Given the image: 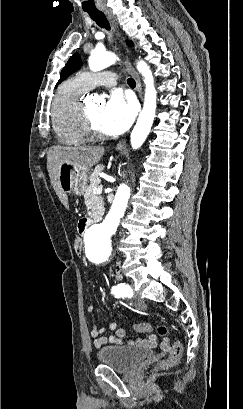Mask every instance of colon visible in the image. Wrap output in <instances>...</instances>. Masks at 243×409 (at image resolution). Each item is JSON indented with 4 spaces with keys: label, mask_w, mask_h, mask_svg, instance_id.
<instances>
[{
    "label": "colon",
    "mask_w": 243,
    "mask_h": 409,
    "mask_svg": "<svg viewBox=\"0 0 243 409\" xmlns=\"http://www.w3.org/2000/svg\"><path fill=\"white\" fill-rule=\"evenodd\" d=\"M73 249L75 251L76 254H80L81 253V249H82V242L80 240V238H76L73 242ZM135 330H137L138 332H142V333H150L152 331V328L149 324L147 323H140V324H136L134 326ZM167 328L163 325L158 327V333L163 336V341H162V346L167 347L170 350V354L169 357L162 361L161 366L162 367H170L176 363L179 362L181 356H182V343L180 341H175L171 346H170V340L169 338L166 336L167 335Z\"/></svg>",
    "instance_id": "colon-1"
}]
</instances>
